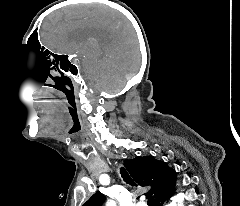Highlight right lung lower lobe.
Listing matches in <instances>:
<instances>
[{
  "instance_id": "obj_1",
  "label": "right lung lower lobe",
  "mask_w": 240,
  "mask_h": 206,
  "mask_svg": "<svg viewBox=\"0 0 240 206\" xmlns=\"http://www.w3.org/2000/svg\"><path fill=\"white\" fill-rule=\"evenodd\" d=\"M173 193H174V192H172L171 194H169V195H167V196L159 199L158 201H156V206H162L163 203H164V201L167 200V199H169V198L172 196Z\"/></svg>"
}]
</instances>
